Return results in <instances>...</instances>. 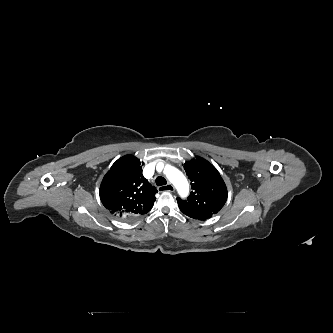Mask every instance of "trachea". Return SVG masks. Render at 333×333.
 <instances>
[{
  "label": "trachea",
  "mask_w": 333,
  "mask_h": 333,
  "mask_svg": "<svg viewBox=\"0 0 333 333\" xmlns=\"http://www.w3.org/2000/svg\"><path fill=\"white\" fill-rule=\"evenodd\" d=\"M155 182H156L157 186L166 185V183H167L166 179L162 176L157 177Z\"/></svg>",
  "instance_id": "trachea-1"
}]
</instances>
